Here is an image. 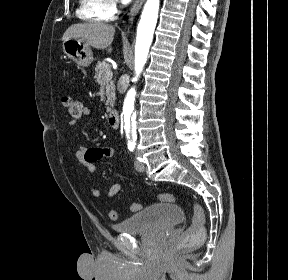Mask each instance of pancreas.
Instances as JSON below:
<instances>
[{
  "label": "pancreas",
  "mask_w": 288,
  "mask_h": 280,
  "mask_svg": "<svg viewBox=\"0 0 288 280\" xmlns=\"http://www.w3.org/2000/svg\"><path fill=\"white\" fill-rule=\"evenodd\" d=\"M111 67L107 62H98L95 68V76L96 83L101 86H105L106 89V111H111V107H113L115 103V85L112 81V78L106 79V72L110 71Z\"/></svg>",
  "instance_id": "pancreas-1"
}]
</instances>
